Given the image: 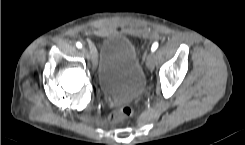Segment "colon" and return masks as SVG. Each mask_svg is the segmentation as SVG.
<instances>
[{"label":"colon","mask_w":245,"mask_h":145,"mask_svg":"<svg viewBox=\"0 0 245 145\" xmlns=\"http://www.w3.org/2000/svg\"><path fill=\"white\" fill-rule=\"evenodd\" d=\"M131 115L132 108L130 106H124L112 112L109 121L112 124H118L128 119Z\"/></svg>","instance_id":"colon-1"}]
</instances>
